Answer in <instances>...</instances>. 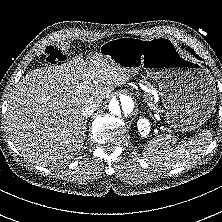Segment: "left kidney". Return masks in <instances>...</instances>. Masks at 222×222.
I'll use <instances>...</instances> for the list:
<instances>
[{
    "instance_id": "5707ae66",
    "label": "left kidney",
    "mask_w": 222,
    "mask_h": 222,
    "mask_svg": "<svg viewBox=\"0 0 222 222\" xmlns=\"http://www.w3.org/2000/svg\"><path fill=\"white\" fill-rule=\"evenodd\" d=\"M137 127L143 137H146L150 132V123L146 118H140Z\"/></svg>"
}]
</instances>
